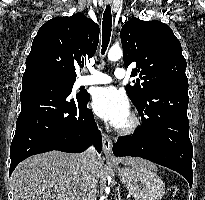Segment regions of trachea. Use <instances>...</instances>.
Segmentation results:
<instances>
[{"label":"trachea","instance_id":"obj_1","mask_svg":"<svg viewBox=\"0 0 205 200\" xmlns=\"http://www.w3.org/2000/svg\"><path fill=\"white\" fill-rule=\"evenodd\" d=\"M111 27H112L111 7L110 5H107L103 14V22H102V51H101L102 55L105 54V51L110 41Z\"/></svg>","mask_w":205,"mask_h":200}]
</instances>
